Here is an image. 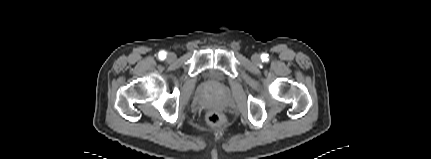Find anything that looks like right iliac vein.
Here are the masks:
<instances>
[{"instance_id": "1", "label": "right iliac vein", "mask_w": 431, "mask_h": 159, "mask_svg": "<svg viewBox=\"0 0 431 159\" xmlns=\"http://www.w3.org/2000/svg\"><path fill=\"white\" fill-rule=\"evenodd\" d=\"M175 54H173V53H170L169 55H168V60H170V61H172V60H174L175 59Z\"/></svg>"}]
</instances>
